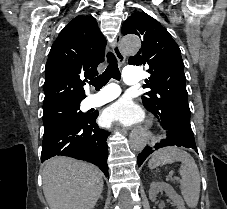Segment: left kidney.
Listing matches in <instances>:
<instances>
[{
	"instance_id": "5707ae66",
	"label": "left kidney",
	"mask_w": 227,
	"mask_h": 209,
	"mask_svg": "<svg viewBox=\"0 0 227 209\" xmlns=\"http://www.w3.org/2000/svg\"><path fill=\"white\" fill-rule=\"evenodd\" d=\"M166 193L167 197L175 203L177 209H185L184 201L180 195H177L175 193L173 187L171 185H168V183H151L150 189H149V199L150 201H155L158 193Z\"/></svg>"
}]
</instances>
